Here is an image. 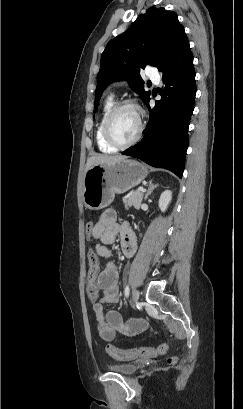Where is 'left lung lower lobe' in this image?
<instances>
[{"label":"left lung lower lobe","mask_w":243,"mask_h":409,"mask_svg":"<svg viewBox=\"0 0 243 409\" xmlns=\"http://www.w3.org/2000/svg\"><path fill=\"white\" fill-rule=\"evenodd\" d=\"M164 90L155 107L150 110L144 138L122 154L141 159L145 163L165 168L182 177L185 153L188 148V127L194 110L196 95L195 70L189 41L161 71Z\"/></svg>","instance_id":"left-lung-lower-lobe-1"}]
</instances>
